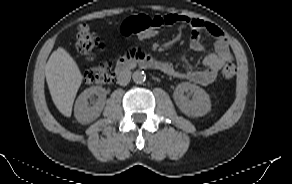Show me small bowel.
Here are the masks:
<instances>
[{"instance_id":"c3829d8e","label":"small bowel","mask_w":292,"mask_h":184,"mask_svg":"<svg viewBox=\"0 0 292 184\" xmlns=\"http://www.w3.org/2000/svg\"><path fill=\"white\" fill-rule=\"evenodd\" d=\"M155 18L159 21L161 27L171 26L177 23H182L190 27L192 32L189 47L192 51L199 52L204 50V45L201 42L202 32L208 33L215 39L214 50L207 53L203 59L204 68L195 69L187 66L184 72H179L171 64L167 63L168 70L166 73L206 86L216 79L219 70L225 63L232 61L233 56L227 39L223 31L216 25L198 18L178 14L155 16Z\"/></svg>"}]
</instances>
